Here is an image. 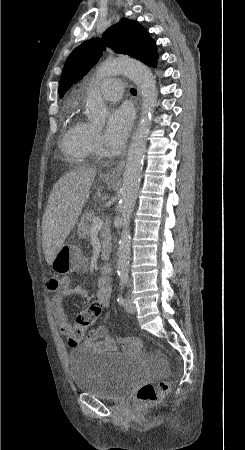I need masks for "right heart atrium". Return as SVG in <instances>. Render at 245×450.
<instances>
[{
    "mask_svg": "<svg viewBox=\"0 0 245 450\" xmlns=\"http://www.w3.org/2000/svg\"><path fill=\"white\" fill-rule=\"evenodd\" d=\"M88 143H89L90 152L96 153L101 150V147H102L101 137H100V134L98 133V131L95 130L94 128H91V131L89 133Z\"/></svg>",
    "mask_w": 245,
    "mask_h": 450,
    "instance_id": "obj_1",
    "label": "right heart atrium"
}]
</instances>
